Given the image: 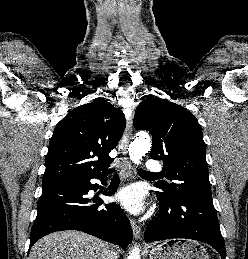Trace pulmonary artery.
<instances>
[{
    "label": "pulmonary artery",
    "mask_w": 248,
    "mask_h": 259,
    "mask_svg": "<svg viewBox=\"0 0 248 259\" xmlns=\"http://www.w3.org/2000/svg\"><path fill=\"white\" fill-rule=\"evenodd\" d=\"M162 170V166L161 164L156 161V160H148V162L146 163V171L150 172V173H158Z\"/></svg>",
    "instance_id": "e3ab8cb5"
}]
</instances>
